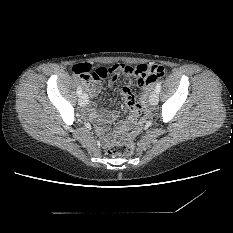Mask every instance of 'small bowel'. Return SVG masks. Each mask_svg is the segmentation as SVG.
Segmentation results:
<instances>
[{"mask_svg": "<svg viewBox=\"0 0 233 233\" xmlns=\"http://www.w3.org/2000/svg\"><path fill=\"white\" fill-rule=\"evenodd\" d=\"M138 84L143 91V95H147L151 83H144L138 80ZM85 85V88L88 90L91 97L96 96L99 91L101 90V82L99 80H90ZM113 85V79L110 80L109 86ZM122 95L126 101V104L130 110V114L127 117V120L124 122H120L114 126V129L111 133L106 134L104 132L105 127L111 123L114 119L118 117L120 114L119 110H111L106 111L102 110L98 107L95 102H92L88 109L89 116L97 122L98 124V133L101 138V142L104 146H108L112 143L115 139L120 137L121 135H137L140 132V127L137 122V111L134 110L135 107V99L132 95L130 85L125 86L122 89Z\"/></svg>", "mask_w": 233, "mask_h": 233, "instance_id": "obj_1", "label": "small bowel"}]
</instances>
